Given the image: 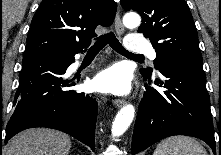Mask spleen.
<instances>
[{
  "label": "spleen",
  "instance_id": "obj_1",
  "mask_svg": "<svg viewBox=\"0 0 221 155\" xmlns=\"http://www.w3.org/2000/svg\"><path fill=\"white\" fill-rule=\"evenodd\" d=\"M153 155H207L204 147L189 136H172L161 141Z\"/></svg>",
  "mask_w": 221,
  "mask_h": 155
}]
</instances>
